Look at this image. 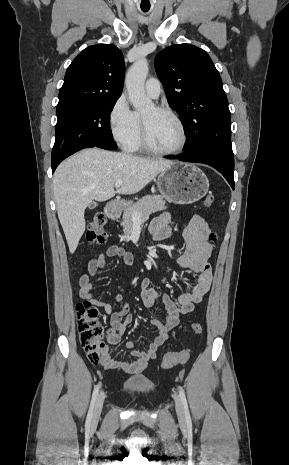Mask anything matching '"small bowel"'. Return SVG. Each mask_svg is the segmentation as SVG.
Listing matches in <instances>:
<instances>
[{
    "label": "small bowel",
    "instance_id": "small-bowel-1",
    "mask_svg": "<svg viewBox=\"0 0 289 465\" xmlns=\"http://www.w3.org/2000/svg\"><path fill=\"white\" fill-rule=\"evenodd\" d=\"M173 216L170 213H162L157 216L151 226L150 232L157 241L167 239L172 233ZM210 229L205 220L197 214L186 218V226L183 237L186 243L184 253L179 257L178 264L184 269L196 273V282L188 292L179 296L178 303L174 302L168 294H159L152 286L149 278L141 281V299L143 304L151 308L158 299H161L165 307V319H152L151 325L156 329V336L149 343L146 350H139L133 342L127 344L130 358L126 361H116L110 354L109 346L119 343L121 335L134 321L130 313L129 305L124 302L123 296L117 294L111 302L94 298L90 278L105 266V259L120 257L126 265H132L134 256L118 246L109 247L105 253L99 254L88 263L87 272L80 278V297L91 304L104 309L110 317V327L107 330V345L102 350L100 363L105 369H120L129 374H140L147 367L149 361L156 358L160 346L167 340L169 332L178 325L179 318L193 311L196 304L200 303L209 291L212 284V271L209 257L212 245L209 241ZM113 305H122V308L113 312Z\"/></svg>",
    "mask_w": 289,
    "mask_h": 465
}]
</instances>
